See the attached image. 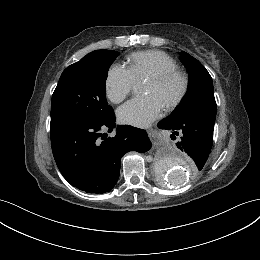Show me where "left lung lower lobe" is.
<instances>
[{
    "label": "left lung lower lobe",
    "mask_w": 260,
    "mask_h": 260,
    "mask_svg": "<svg viewBox=\"0 0 260 260\" xmlns=\"http://www.w3.org/2000/svg\"><path fill=\"white\" fill-rule=\"evenodd\" d=\"M158 127L173 131L171 137L174 139V135H179L177 147L194 160L195 168L204 167L212 148L214 123L196 116L177 120L168 116L158 123Z\"/></svg>",
    "instance_id": "0a47b994"
}]
</instances>
